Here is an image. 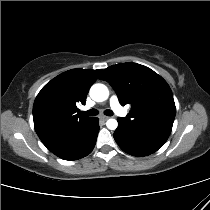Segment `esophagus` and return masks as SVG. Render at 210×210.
Returning a JSON list of instances; mask_svg holds the SVG:
<instances>
[{
	"mask_svg": "<svg viewBox=\"0 0 210 210\" xmlns=\"http://www.w3.org/2000/svg\"><path fill=\"white\" fill-rule=\"evenodd\" d=\"M100 119L106 121L109 119V117L108 116H100Z\"/></svg>",
	"mask_w": 210,
	"mask_h": 210,
	"instance_id": "34e87169",
	"label": "esophagus"
}]
</instances>
